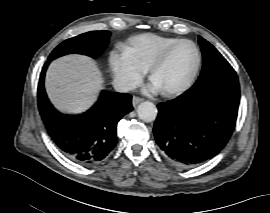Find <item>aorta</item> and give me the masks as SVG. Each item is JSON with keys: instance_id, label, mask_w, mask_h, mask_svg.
<instances>
[{"instance_id": "1", "label": "aorta", "mask_w": 270, "mask_h": 213, "mask_svg": "<svg viewBox=\"0 0 270 213\" xmlns=\"http://www.w3.org/2000/svg\"><path fill=\"white\" fill-rule=\"evenodd\" d=\"M157 107L149 101H144L139 104L137 113L138 117L145 122H152L157 116Z\"/></svg>"}]
</instances>
